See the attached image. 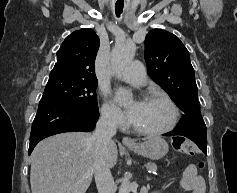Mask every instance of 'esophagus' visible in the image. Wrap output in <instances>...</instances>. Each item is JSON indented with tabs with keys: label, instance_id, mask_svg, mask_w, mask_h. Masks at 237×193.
<instances>
[{
	"label": "esophagus",
	"instance_id": "1",
	"mask_svg": "<svg viewBox=\"0 0 237 193\" xmlns=\"http://www.w3.org/2000/svg\"><path fill=\"white\" fill-rule=\"evenodd\" d=\"M122 143L124 145H134L135 144V142L129 137H123Z\"/></svg>",
	"mask_w": 237,
	"mask_h": 193
}]
</instances>
